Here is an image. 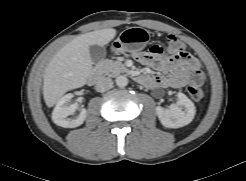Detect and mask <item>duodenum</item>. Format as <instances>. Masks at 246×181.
I'll return each instance as SVG.
<instances>
[{
	"label": "duodenum",
	"mask_w": 246,
	"mask_h": 181,
	"mask_svg": "<svg viewBox=\"0 0 246 181\" xmlns=\"http://www.w3.org/2000/svg\"><path fill=\"white\" fill-rule=\"evenodd\" d=\"M102 77V72L99 69H94L88 76V82L91 85H97L100 83ZM136 80L138 83L143 84L145 82L144 76H136Z\"/></svg>",
	"instance_id": "obj_1"
}]
</instances>
